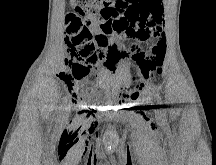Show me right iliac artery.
<instances>
[{"label":"right iliac artery","mask_w":216,"mask_h":165,"mask_svg":"<svg viewBox=\"0 0 216 165\" xmlns=\"http://www.w3.org/2000/svg\"><path fill=\"white\" fill-rule=\"evenodd\" d=\"M65 109H66V105H65V104L61 105V107H60L61 113H63V111H64Z\"/></svg>","instance_id":"right-iliac-artery-1"}]
</instances>
